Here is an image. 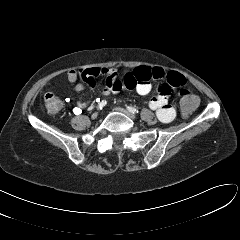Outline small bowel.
<instances>
[{"label":"small bowel","mask_w":240,"mask_h":240,"mask_svg":"<svg viewBox=\"0 0 240 240\" xmlns=\"http://www.w3.org/2000/svg\"><path fill=\"white\" fill-rule=\"evenodd\" d=\"M97 76H105V86L101 92L104 95L118 93L123 90H135L139 95H148L152 89L150 80H159L160 86L158 94L154 96L149 107L155 111L158 119L163 123H169L176 116L175 108L168 103V96L173 89L179 88L185 83V78L178 72L167 71L160 67L142 66L127 71L122 78L119 77L116 70L107 67H93L79 72L70 70L66 78L74 85L77 92L83 91L85 84L93 90L95 88L94 78ZM81 82H78V80ZM88 101H78L75 108L76 113L87 107Z\"/></svg>","instance_id":"obj_1"}]
</instances>
